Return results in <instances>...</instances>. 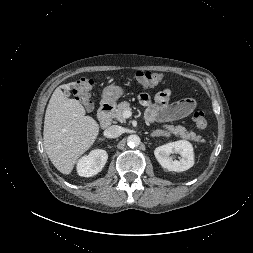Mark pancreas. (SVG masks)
Segmentation results:
<instances>
[{
  "label": "pancreas",
  "mask_w": 253,
  "mask_h": 253,
  "mask_svg": "<svg viewBox=\"0 0 253 253\" xmlns=\"http://www.w3.org/2000/svg\"><path fill=\"white\" fill-rule=\"evenodd\" d=\"M126 110H131L130 103H128L126 101L119 103L116 110L113 113V118H115L116 120H118L121 123L125 122L126 118L123 117V113ZM163 127L166 129L165 133L168 136L170 134H174V135L179 136L180 138H183V139H188V140H192L195 142L201 141L200 136H197L195 132H192V131L188 132L187 129L181 125H178L176 127H174L173 125H164Z\"/></svg>",
  "instance_id": "obj_1"
}]
</instances>
